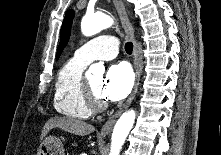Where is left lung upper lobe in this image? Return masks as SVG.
Returning <instances> with one entry per match:
<instances>
[{
  "label": "left lung upper lobe",
  "mask_w": 221,
  "mask_h": 155,
  "mask_svg": "<svg viewBox=\"0 0 221 155\" xmlns=\"http://www.w3.org/2000/svg\"><path fill=\"white\" fill-rule=\"evenodd\" d=\"M73 17H74L73 10H69L65 15L62 28H61L60 43L58 46L57 59L69 40Z\"/></svg>",
  "instance_id": "left-lung-upper-lobe-1"
}]
</instances>
